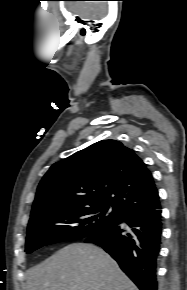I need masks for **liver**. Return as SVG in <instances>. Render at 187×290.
I'll return each instance as SVG.
<instances>
[{"label":"liver","mask_w":187,"mask_h":290,"mask_svg":"<svg viewBox=\"0 0 187 290\" xmlns=\"http://www.w3.org/2000/svg\"><path fill=\"white\" fill-rule=\"evenodd\" d=\"M26 290H139L101 248L67 245L27 271Z\"/></svg>","instance_id":"obj_1"}]
</instances>
